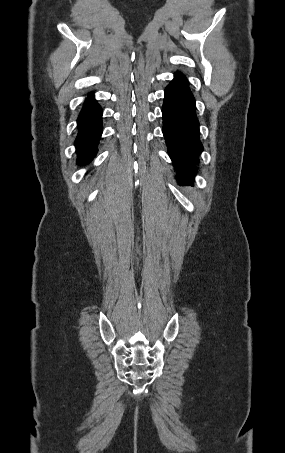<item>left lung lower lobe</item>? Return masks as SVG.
I'll list each match as a JSON object with an SVG mask.
<instances>
[{
	"label": "left lung lower lobe",
	"instance_id": "obj_1",
	"mask_svg": "<svg viewBox=\"0 0 285 453\" xmlns=\"http://www.w3.org/2000/svg\"><path fill=\"white\" fill-rule=\"evenodd\" d=\"M195 110V99L186 78L180 72L175 73L173 81L165 89L163 134L178 173L177 181L181 184L192 183L199 154L203 151Z\"/></svg>",
	"mask_w": 285,
	"mask_h": 453
}]
</instances>
